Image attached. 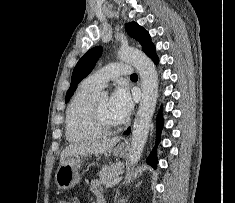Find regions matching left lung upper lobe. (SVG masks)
Returning a JSON list of instances; mask_svg holds the SVG:
<instances>
[{
	"label": "left lung upper lobe",
	"mask_w": 235,
	"mask_h": 203,
	"mask_svg": "<svg viewBox=\"0 0 235 203\" xmlns=\"http://www.w3.org/2000/svg\"><path fill=\"white\" fill-rule=\"evenodd\" d=\"M126 30L131 37L135 38L141 43L144 52H146L153 45L148 32L136 22H130L126 24ZM101 53L102 47L97 46L87 51L80 58L72 73L71 85L66 94V103L73 95L78 83L92 71L96 62L101 56Z\"/></svg>",
	"instance_id": "1"
}]
</instances>
